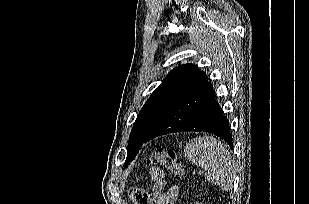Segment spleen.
<instances>
[{"instance_id":"3e777b00","label":"spleen","mask_w":309,"mask_h":204,"mask_svg":"<svg viewBox=\"0 0 309 204\" xmlns=\"http://www.w3.org/2000/svg\"><path fill=\"white\" fill-rule=\"evenodd\" d=\"M185 157L201 167L205 179L223 190H230L235 178L234 163L229 151L213 137H196L186 143Z\"/></svg>"}]
</instances>
